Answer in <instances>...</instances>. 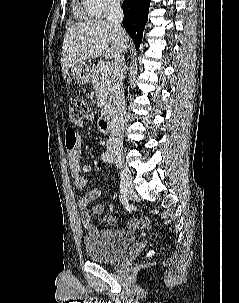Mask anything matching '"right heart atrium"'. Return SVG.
<instances>
[{
	"label": "right heart atrium",
	"mask_w": 239,
	"mask_h": 303,
	"mask_svg": "<svg viewBox=\"0 0 239 303\" xmlns=\"http://www.w3.org/2000/svg\"><path fill=\"white\" fill-rule=\"evenodd\" d=\"M85 13L91 17H105L120 9L122 0H81Z\"/></svg>",
	"instance_id": "right-heart-atrium-1"
}]
</instances>
